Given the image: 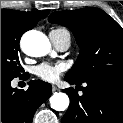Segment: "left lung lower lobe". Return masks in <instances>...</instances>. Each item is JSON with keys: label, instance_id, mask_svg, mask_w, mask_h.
<instances>
[{"label": "left lung lower lobe", "instance_id": "0a47b994", "mask_svg": "<svg viewBox=\"0 0 123 123\" xmlns=\"http://www.w3.org/2000/svg\"><path fill=\"white\" fill-rule=\"evenodd\" d=\"M65 80L77 86L83 83ZM85 83L82 96L73 88L64 90L70 105L61 123H123V76L107 75Z\"/></svg>", "mask_w": 123, "mask_h": 123}]
</instances>
